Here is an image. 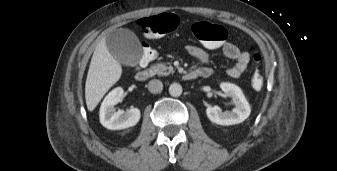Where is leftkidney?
I'll use <instances>...</instances> for the list:
<instances>
[{
    "label": "left kidney",
    "mask_w": 337,
    "mask_h": 171,
    "mask_svg": "<svg viewBox=\"0 0 337 171\" xmlns=\"http://www.w3.org/2000/svg\"><path fill=\"white\" fill-rule=\"evenodd\" d=\"M222 91L232 98L235 105L231 111L222 112L218 106H208L206 109L207 117L210 121L219 125H235L243 122L250 115L251 109L242 90L231 83H222Z\"/></svg>",
    "instance_id": "5707ae66"
}]
</instances>
